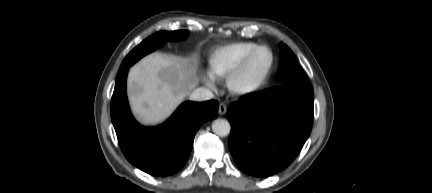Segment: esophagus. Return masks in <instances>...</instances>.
<instances>
[{
    "instance_id": "34e87169",
    "label": "esophagus",
    "mask_w": 432,
    "mask_h": 193,
    "mask_svg": "<svg viewBox=\"0 0 432 193\" xmlns=\"http://www.w3.org/2000/svg\"><path fill=\"white\" fill-rule=\"evenodd\" d=\"M227 112V106L224 103L219 104L218 113L219 115H224Z\"/></svg>"
}]
</instances>
